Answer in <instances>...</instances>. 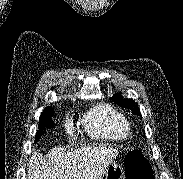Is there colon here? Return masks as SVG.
Segmentation results:
<instances>
[{
  "mask_svg": "<svg viewBox=\"0 0 183 179\" xmlns=\"http://www.w3.org/2000/svg\"><path fill=\"white\" fill-rule=\"evenodd\" d=\"M126 179H152V169L143 153L131 150L125 158Z\"/></svg>",
  "mask_w": 183,
  "mask_h": 179,
  "instance_id": "colon-1",
  "label": "colon"
}]
</instances>
